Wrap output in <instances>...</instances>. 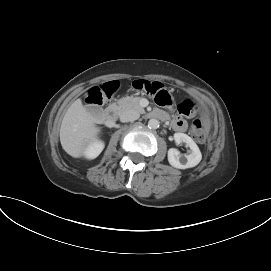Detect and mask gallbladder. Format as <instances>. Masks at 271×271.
<instances>
[{"instance_id":"1","label":"gallbladder","mask_w":271,"mask_h":271,"mask_svg":"<svg viewBox=\"0 0 271 271\" xmlns=\"http://www.w3.org/2000/svg\"><path fill=\"white\" fill-rule=\"evenodd\" d=\"M87 110L95 121L103 120V111L99 106H90Z\"/></svg>"}]
</instances>
